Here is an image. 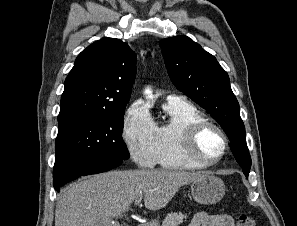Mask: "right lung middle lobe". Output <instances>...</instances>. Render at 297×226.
Segmentation results:
<instances>
[{"label": "right lung middle lobe", "instance_id": "obj_1", "mask_svg": "<svg viewBox=\"0 0 297 226\" xmlns=\"http://www.w3.org/2000/svg\"><path fill=\"white\" fill-rule=\"evenodd\" d=\"M123 114H81L58 120L55 163L87 155L128 159L122 138Z\"/></svg>", "mask_w": 297, "mask_h": 226}]
</instances>
